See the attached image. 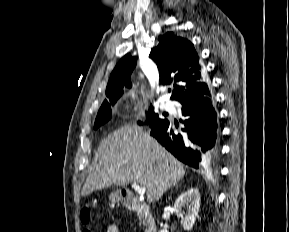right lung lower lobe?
Returning <instances> with one entry per match:
<instances>
[{
	"label": "right lung lower lobe",
	"mask_w": 289,
	"mask_h": 232,
	"mask_svg": "<svg viewBox=\"0 0 289 232\" xmlns=\"http://www.w3.org/2000/svg\"><path fill=\"white\" fill-rule=\"evenodd\" d=\"M183 133H175L173 125L164 120L152 127L150 134L183 163L196 169L215 165L220 153V127L211 94L180 102Z\"/></svg>",
	"instance_id": "98d812e1"
}]
</instances>
